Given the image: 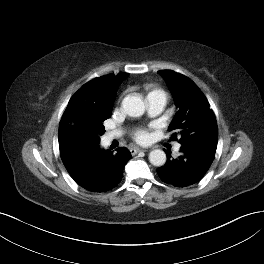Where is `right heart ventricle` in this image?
<instances>
[{"label": "right heart ventricle", "instance_id": "right-heart-ventricle-1", "mask_svg": "<svg viewBox=\"0 0 264 264\" xmlns=\"http://www.w3.org/2000/svg\"><path fill=\"white\" fill-rule=\"evenodd\" d=\"M153 92H162V91L157 90V89H156V90H152L151 92L148 93V95L151 94V93H153ZM148 95H147V96H148Z\"/></svg>", "mask_w": 264, "mask_h": 264}]
</instances>
